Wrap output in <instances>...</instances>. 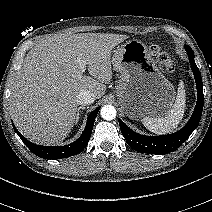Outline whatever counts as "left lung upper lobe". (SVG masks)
<instances>
[{
  "mask_svg": "<svg viewBox=\"0 0 212 212\" xmlns=\"http://www.w3.org/2000/svg\"><path fill=\"white\" fill-rule=\"evenodd\" d=\"M185 49H186L187 51L192 50L189 46H185Z\"/></svg>",
  "mask_w": 212,
  "mask_h": 212,
  "instance_id": "1",
  "label": "left lung upper lobe"
}]
</instances>
